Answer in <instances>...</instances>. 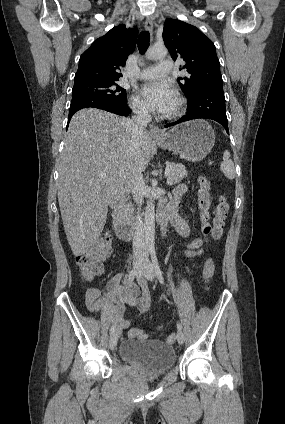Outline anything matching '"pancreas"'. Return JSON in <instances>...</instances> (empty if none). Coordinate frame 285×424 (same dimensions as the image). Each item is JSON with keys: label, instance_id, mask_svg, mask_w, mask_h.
<instances>
[{"label": "pancreas", "instance_id": "cf45deb5", "mask_svg": "<svg viewBox=\"0 0 285 424\" xmlns=\"http://www.w3.org/2000/svg\"><path fill=\"white\" fill-rule=\"evenodd\" d=\"M170 165L172 167V170L170 171V174L167 176L166 183L172 186L180 182L182 179H184L188 175V173L186 171L185 166L182 164L171 163ZM125 212L128 215H130L133 212V206L131 203H128L125 206Z\"/></svg>", "mask_w": 285, "mask_h": 424}]
</instances>
